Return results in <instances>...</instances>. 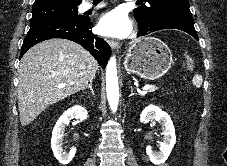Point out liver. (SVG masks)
Listing matches in <instances>:
<instances>
[{"label": "liver", "mask_w": 227, "mask_h": 166, "mask_svg": "<svg viewBox=\"0 0 227 166\" xmlns=\"http://www.w3.org/2000/svg\"><path fill=\"white\" fill-rule=\"evenodd\" d=\"M98 63L79 44L50 39L22 57L17 90L20 122L26 126L48 106L84 90L95 77Z\"/></svg>", "instance_id": "obj_1"}]
</instances>
